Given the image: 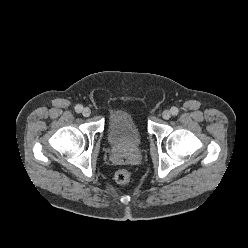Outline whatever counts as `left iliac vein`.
I'll use <instances>...</instances> for the list:
<instances>
[{
    "mask_svg": "<svg viewBox=\"0 0 248 248\" xmlns=\"http://www.w3.org/2000/svg\"><path fill=\"white\" fill-rule=\"evenodd\" d=\"M162 117L165 119V120H168L170 117H171V112L169 110H164L162 112Z\"/></svg>",
    "mask_w": 248,
    "mask_h": 248,
    "instance_id": "obj_1",
    "label": "left iliac vein"
}]
</instances>
